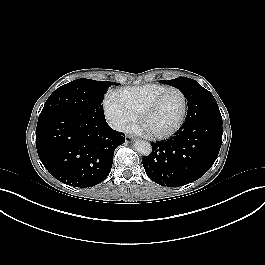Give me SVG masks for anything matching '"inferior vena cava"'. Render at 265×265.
<instances>
[{
    "label": "inferior vena cava",
    "instance_id": "602c4592",
    "mask_svg": "<svg viewBox=\"0 0 265 265\" xmlns=\"http://www.w3.org/2000/svg\"><path fill=\"white\" fill-rule=\"evenodd\" d=\"M110 127L116 131L127 132V124L117 118H110L108 120Z\"/></svg>",
    "mask_w": 265,
    "mask_h": 265
}]
</instances>
